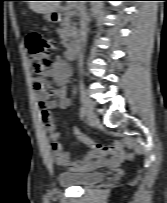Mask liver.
<instances>
[{
  "label": "liver",
  "mask_w": 167,
  "mask_h": 203,
  "mask_svg": "<svg viewBox=\"0 0 167 203\" xmlns=\"http://www.w3.org/2000/svg\"><path fill=\"white\" fill-rule=\"evenodd\" d=\"M29 8L36 13H51L58 9L59 1H29Z\"/></svg>",
  "instance_id": "6515ba94"
}]
</instances>
